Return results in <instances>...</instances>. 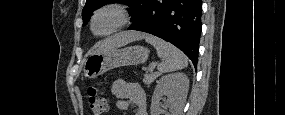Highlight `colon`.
<instances>
[{"label": "colon", "instance_id": "obj_1", "mask_svg": "<svg viewBox=\"0 0 285 115\" xmlns=\"http://www.w3.org/2000/svg\"><path fill=\"white\" fill-rule=\"evenodd\" d=\"M88 106L92 115H103L107 110V102L100 90L90 86L87 90Z\"/></svg>", "mask_w": 285, "mask_h": 115}]
</instances>
